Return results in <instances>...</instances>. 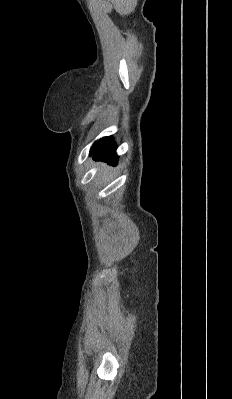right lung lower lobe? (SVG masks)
<instances>
[{"mask_svg": "<svg viewBox=\"0 0 232 399\" xmlns=\"http://www.w3.org/2000/svg\"><path fill=\"white\" fill-rule=\"evenodd\" d=\"M116 144L111 137H104L91 147L90 155L95 159L104 160L110 164H116L118 156L115 153Z\"/></svg>", "mask_w": 232, "mask_h": 399, "instance_id": "1", "label": "right lung lower lobe"}]
</instances>
